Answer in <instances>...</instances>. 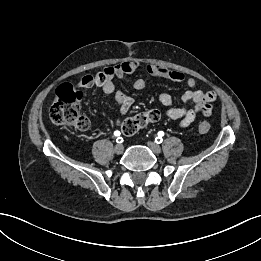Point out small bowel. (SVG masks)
<instances>
[{
  "instance_id": "obj_1",
  "label": "small bowel",
  "mask_w": 261,
  "mask_h": 261,
  "mask_svg": "<svg viewBox=\"0 0 261 261\" xmlns=\"http://www.w3.org/2000/svg\"><path fill=\"white\" fill-rule=\"evenodd\" d=\"M142 67L138 60H128L117 65L107 67L103 72L91 76L86 75L79 81V86L91 88L93 86L101 87L105 94H114L115 101L119 107L121 115L126 114L134 103V99L115 89L114 80L123 78L128 74L138 71ZM146 72L150 77H164L176 82H184L187 89L181 95V103H192V108L175 107L173 106V98L168 93H160L158 96L159 102L168 107L166 116L172 120H177L179 127L185 128L192 124L198 113L204 116H209L213 109V102L216 100V94L212 91L204 92L196 89V82L193 78L186 77L179 71H174L163 66L150 64L145 67ZM98 76H102L101 82H98ZM147 81L143 78H138L133 82V88L137 91L146 89Z\"/></svg>"
}]
</instances>
